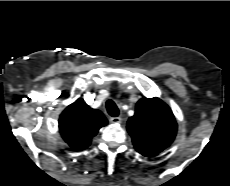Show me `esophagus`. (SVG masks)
I'll list each match as a JSON object with an SVG mask.
<instances>
[{
  "label": "esophagus",
  "instance_id": "esophagus-1",
  "mask_svg": "<svg viewBox=\"0 0 230 186\" xmlns=\"http://www.w3.org/2000/svg\"><path fill=\"white\" fill-rule=\"evenodd\" d=\"M121 121H122L121 117H111L110 118V122L113 124H119L121 123Z\"/></svg>",
  "mask_w": 230,
  "mask_h": 186
}]
</instances>
